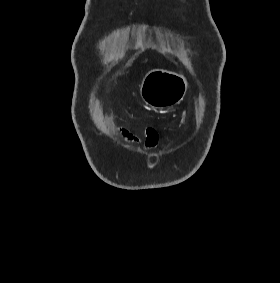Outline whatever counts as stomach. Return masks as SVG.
<instances>
[{
  "label": "stomach",
  "instance_id": "1",
  "mask_svg": "<svg viewBox=\"0 0 280 283\" xmlns=\"http://www.w3.org/2000/svg\"><path fill=\"white\" fill-rule=\"evenodd\" d=\"M186 91L187 81L183 75L162 69L147 72L140 85L142 100L158 109L179 104Z\"/></svg>",
  "mask_w": 280,
  "mask_h": 283
}]
</instances>
